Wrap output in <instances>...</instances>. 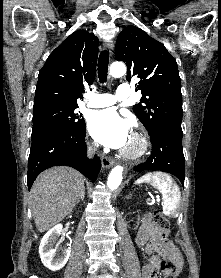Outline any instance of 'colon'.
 Wrapping results in <instances>:
<instances>
[{
	"label": "colon",
	"instance_id": "obj_1",
	"mask_svg": "<svg viewBox=\"0 0 221 278\" xmlns=\"http://www.w3.org/2000/svg\"><path fill=\"white\" fill-rule=\"evenodd\" d=\"M152 222L158 228L167 231L169 229V222L166 217L160 213L159 211H155L152 214ZM160 269L165 276V278H173L176 271L177 266L171 260H163L160 265Z\"/></svg>",
	"mask_w": 221,
	"mask_h": 278
}]
</instances>
